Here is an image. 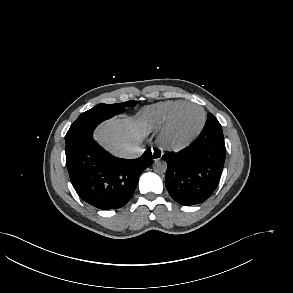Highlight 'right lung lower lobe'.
<instances>
[{"label": "right lung lower lobe", "mask_w": 293, "mask_h": 293, "mask_svg": "<svg viewBox=\"0 0 293 293\" xmlns=\"http://www.w3.org/2000/svg\"><path fill=\"white\" fill-rule=\"evenodd\" d=\"M94 129L85 128L65 139L72 185L85 202L96 208H121L132 197L141 172L152 164L151 150L137 159L114 157L93 140Z\"/></svg>", "instance_id": "obj_1"}]
</instances>
